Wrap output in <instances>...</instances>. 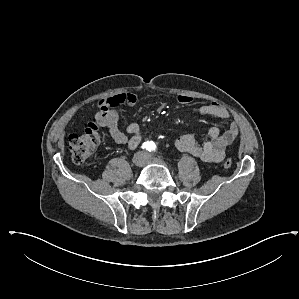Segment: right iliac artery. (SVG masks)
<instances>
[{
	"instance_id": "1",
	"label": "right iliac artery",
	"mask_w": 299,
	"mask_h": 299,
	"mask_svg": "<svg viewBox=\"0 0 299 299\" xmlns=\"http://www.w3.org/2000/svg\"><path fill=\"white\" fill-rule=\"evenodd\" d=\"M142 148L143 149H145V150H149V148H150V142H144L143 144H142Z\"/></svg>"
}]
</instances>
